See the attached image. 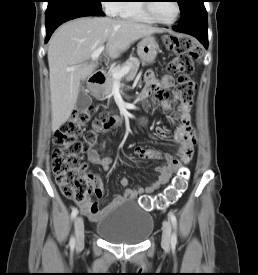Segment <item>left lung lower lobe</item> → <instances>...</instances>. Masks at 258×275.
Wrapping results in <instances>:
<instances>
[{"label":"left lung lower lobe","mask_w":258,"mask_h":275,"mask_svg":"<svg viewBox=\"0 0 258 275\" xmlns=\"http://www.w3.org/2000/svg\"><path fill=\"white\" fill-rule=\"evenodd\" d=\"M204 1L191 0L186 9L181 13L180 23L173 29L196 37L207 49L208 23Z\"/></svg>","instance_id":"1"}]
</instances>
